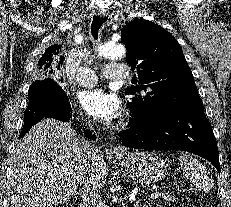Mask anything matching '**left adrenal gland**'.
<instances>
[{"instance_id": "1", "label": "left adrenal gland", "mask_w": 231, "mask_h": 207, "mask_svg": "<svg viewBox=\"0 0 231 207\" xmlns=\"http://www.w3.org/2000/svg\"><path fill=\"white\" fill-rule=\"evenodd\" d=\"M140 201H141L140 199L137 200V201L134 203V206H135V207H139Z\"/></svg>"}]
</instances>
